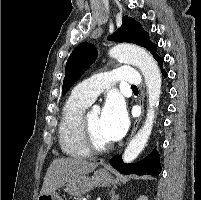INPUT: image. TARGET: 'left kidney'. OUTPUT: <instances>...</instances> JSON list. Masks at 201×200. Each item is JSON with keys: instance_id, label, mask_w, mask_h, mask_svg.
Listing matches in <instances>:
<instances>
[{"instance_id": "5707ae66", "label": "left kidney", "mask_w": 201, "mask_h": 200, "mask_svg": "<svg viewBox=\"0 0 201 200\" xmlns=\"http://www.w3.org/2000/svg\"><path fill=\"white\" fill-rule=\"evenodd\" d=\"M137 200H148V197L141 195Z\"/></svg>"}]
</instances>
